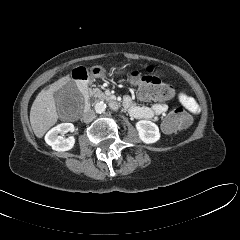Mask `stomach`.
Instances as JSON below:
<instances>
[{
    "mask_svg": "<svg viewBox=\"0 0 240 240\" xmlns=\"http://www.w3.org/2000/svg\"><path fill=\"white\" fill-rule=\"evenodd\" d=\"M124 66L120 67L119 70H124ZM106 70L102 66H94L90 70V75L92 78L104 77Z\"/></svg>",
    "mask_w": 240,
    "mask_h": 240,
    "instance_id": "obj_1",
    "label": "stomach"
}]
</instances>
